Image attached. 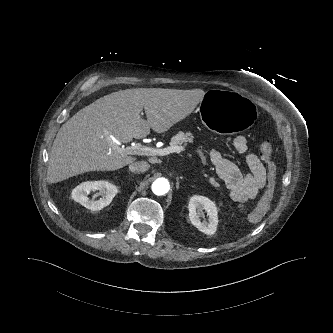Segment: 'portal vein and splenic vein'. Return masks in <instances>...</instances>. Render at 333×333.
Segmentation results:
<instances>
[{
  "label": "portal vein and splenic vein",
  "mask_w": 333,
  "mask_h": 333,
  "mask_svg": "<svg viewBox=\"0 0 333 333\" xmlns=\"http://www.w3.org/2000/svg\"><path fill=\"white\" fill-rule=\"evenodd\" d=\"M119 145H120V143L117 142V145L114 146V149L125 155L165 156L170 153L186 150L185 147L178 146V145L170 146V147L164 148V149L142 146L140 143H136V144L128 146V147H124V146L120 147Z\"/></svg>",
  "instance_id": "1"
}]
</instances>
